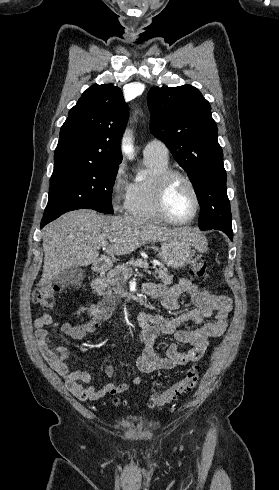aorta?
<instances>
[{"instance_id": "obj_1", "label": "aorta", "mask_w": 279, "mask_h": 490, "mask_svg": "<svg viewBox=\"0 0 279 490\" xmlns=\"http://www.w3.org/2000/svg\"><path fill=\"white\" fill-rule=\"evenodd\" d=\"M127 140H128V139H127ZM122 150H123V152L125 153V155H127L128 157H130V158H131V154H132V152H133V147H132V145L129 143V141H128V142H126V143L123 145ZM119 320H120V322L125 323V321H127V316H126V314H125V315L121 314V315L119 316Z\"/></svg>"}]
</instances>
